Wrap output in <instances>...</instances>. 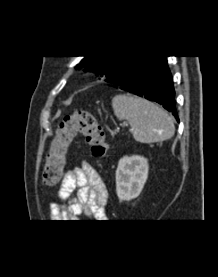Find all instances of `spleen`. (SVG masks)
Listing matches in <instances>:
<instances>
[{
  "label": "spleen",
  "mask_w": 218,
  "mask_h": 277,
  "mask_svg": "<svg viewBox=\"0 0 218 277\" xmlns=\"http://www.w3.org/2000/svg\"><path fill=\"white\" fill-rule=\"evenodd\" d=\"M115 116L126 120L133 137L141 143L160 142L175 132L173 118L154 103L131 95H116L112 99Z\"/></svg>",
  "instance_id": "obj_1"
}]
</instances>
